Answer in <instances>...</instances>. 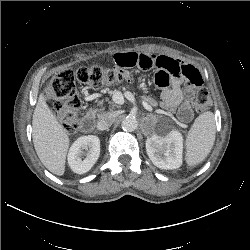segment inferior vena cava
<instances>
[{
	"mask_svg": "<svg viewBox=\"0 0 250 250\" xmlns=\"http://www.w3.org/2000/svg\"><path fill=\"white\" fill-rule=\"evenodd\" d=\"M114 120H115L114 113L112 112L105 113L97 121V128L99 130H106L113 124Z\"/></svg>",
	"mask_w": 250,
	"mask_h": 250,
	"instance_id": "obj_1",
	"label": "inferior vena cava"
}]
</instances>
